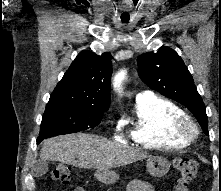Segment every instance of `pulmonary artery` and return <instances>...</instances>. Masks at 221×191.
<instances>
[{
    "instance_id": "obj_1",
    "label": "pulmonary artery",
    "mask_w": 221,
    "mask_h": 191,
    "mask_svg": "<svg viewBox=\"0 0 221 191\" xmlns=\"http://www.w3.org/2000/svg\"><path fill=\"white\" fill-rule=\"evenodd\" d=\"M154 94L149 90H144L136 95V101H145L152 98Z\"/></svg>"
}]
</instances>
